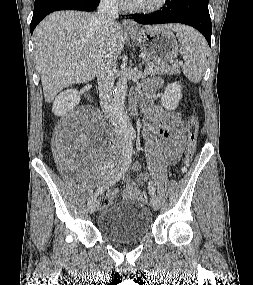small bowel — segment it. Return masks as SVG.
Returning <instances> with one entry per match:
<instances>
[{"instance_id":"c3829d8e","label":"small bowel","mask_w":253,"mask_h":285,"mask_svg":"<svg viewBox=\"0 0 253 285\" xmlns=\"http://www.w3.org/2000/svg\"><path fill=\"white\" fill-rule=\"evenodd\" d=\"M161 86L162 81L154 79L145 88L148 93V100L144 104L145 137L149 140L152 139V134L159 137L160 141L155 142L156 150L167 160L169 165H174L179 160L185 144L187 124L182 121L178 113H171L154 103ZM65 149L66 146L61 145V151L65 152ZM134 169L137 171L135 179L126 174L123 175L122 179L125 183L122 197L127 201H137L139 199L138 185L147 180L146 174L140 171L137 164L134 165ZM117 195L118 190L116 188H109V191H106V196L111 200Z\"/></svg>"}]
</instances>
